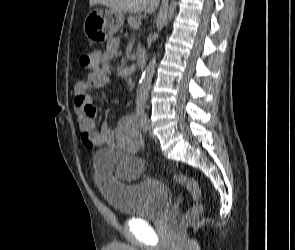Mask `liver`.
<instances>
[{
	"mask_svg": "<svg viewBox=\"0 0 295 250\" xmlns=\"http://www.w3.org/2000/svg\"><path fill=\"white\" fill-rule=\"evenodd\" d=\"M160 0H90V6L100 4L117 12L153 13L159 6Z\"/></svg>",
	"mask_w": 295,
	"mask_h": 250,
	"instance_id": "6515ba94",
	"label": "liver"
}]
</instances>
